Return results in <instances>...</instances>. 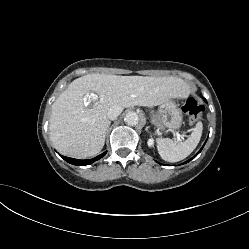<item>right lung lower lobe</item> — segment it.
Masks as SVG:
<instances>
[{
    "mask_svg": "<svg viewBox=\"0 0 249 249\" xmlns=\"http://www.w3.org/2000/svg\"><path fill=\"white\" fill-rule=\"evenodd\" d=\"M106 152L98 155L97 157L93 158V159H89V160H78V159H73V158H69V157H65V156H61L65 161L73 164V165H78V166H84V165H89L97 160H99L100 158H102L103 156H105Z\"/></svg>",
    "mask_w": 249,
    "mask_h": 249,
    "instance_id": "right-lung-lower-lobe-1",
    "label": "right lung lower lobe"
}]
</instances>
